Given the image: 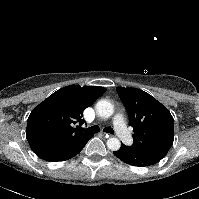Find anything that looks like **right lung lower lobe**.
I'll return each mask as SVG.
<instances>
[{"label":"right lung lower lobe","instance_id":"right-lung-lower-lobe-1","mask_svg":"<svg viewBox=\"0 0 199 199\" xmlns=\"http://www.w3.org/2000/svg\"><path fill=\"white\" fill-rule=\"evenodd\" d=\"M93 137V134H86L81 138L70 142L66 145L34 151V153L46 161H64L77 155L86 145L88 140Z\"/></svg>","mask_w":199,"mask_h":199}]
</instances>
